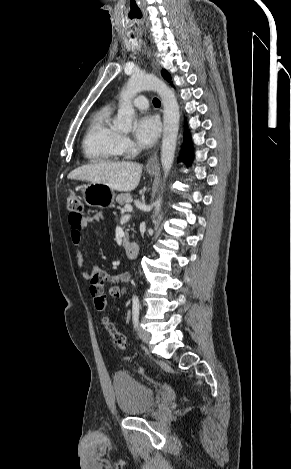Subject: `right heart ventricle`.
I'll return each mask as SVG.
<instances>
[{
  "instance_id": "e07e8e85",
  "label": "right heart ventricle",
  "mask_w": 291,
  "mask_h": 469,
  "mask_svg": "<svg viewBox=\"0 0 291 469\" xmlns=\"http://www.w3.org/2000/svg\"><path fill=\"white\" fill-rule=\"evenodd\" d=\"M112 108L104 106L90 119L82 141L85 157L93 162L114 161L123 153L121 134L111 124Z\"/></svg>"
}]
</instances>
